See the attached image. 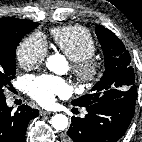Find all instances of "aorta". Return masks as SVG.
<instances>
[{"mask_svg": "<svg viewBox=\"0 0 142 142\" xmlns=\"http://www.w3.org/2000/svg\"><path fill=\"white\" fill-rule=\"evenodd\" d=\"M46 66L50 71L59 75L64 74L67 71L66 60L59 54L51 55L47 59ZM51 125L58 131L64 130L68 126V118L63 114H56L51 119Z\"/></svg>", "mask_w": 142, "mask_h": 142, "instance_id": "aorta-1", "label": "aorta"}]
</instances>
